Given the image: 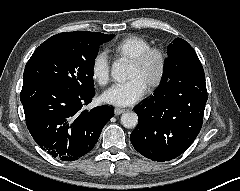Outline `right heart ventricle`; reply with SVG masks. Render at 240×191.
<instances>
[{
	"instance_id": "1",
	"label": "right heart ventricle",
	"mask_w": 240,
	"mask_h": 191,
	"mask_svg": "<svg viewBox=\"0 0 240 191\" xmlns=\"http://www.w3.org/2000/svg\"><path fill=\"white\" fill-rule=\"evenodd\" d=\"M151 47V43L137 35L126 36L111 46V51L116 57H123L129 60L137 57Z\"/></svg>"
}]
</instances>
